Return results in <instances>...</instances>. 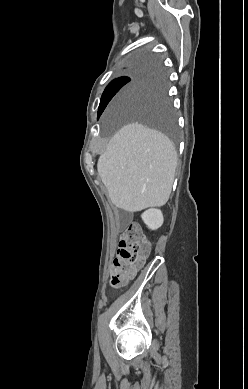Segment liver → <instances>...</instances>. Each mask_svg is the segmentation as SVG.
I'll return each instance as SVG.
<instances>
[{
    "mask_svg": "<svg viewBox=\"0 0 248 389\" xmlns=\"http://www.w3.org/2000/svg\"><path fill=\"white\" fill-rule=\"evenodd\" d=\"M124 89L117 101L133 102ZM177 152L163 133L139 123L122 127L100 156L97 169L112 203L137 212L163 206L169 199L177 167Z\"/></svg>",
    "mask_w": 248,
    "mask_h": 389,
    "instance_id": "1",
    "label": "liver"
}]
</instances>
